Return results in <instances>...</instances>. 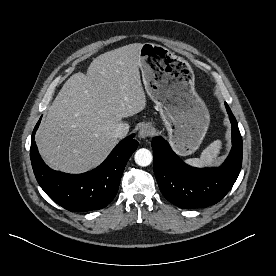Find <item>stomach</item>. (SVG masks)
<instances>
[{"mask_svg":"<svg viewBox=\"0 0 276 276\" xmlns=\"http://www.w3.org/2000/svg\"><path fill=\"white\" fill-rule=\"evenodd\" d=\"M139 65L150 99L160 112L169 143L180 156L193 154L207 132L210 116L195 90V74L190 64L155 43H144Z\"/></svg>","mask_w":276,"mask_h":276,"instance_id":"1","label":"stomach"}]
</instances>
